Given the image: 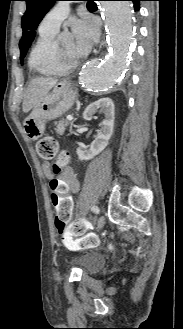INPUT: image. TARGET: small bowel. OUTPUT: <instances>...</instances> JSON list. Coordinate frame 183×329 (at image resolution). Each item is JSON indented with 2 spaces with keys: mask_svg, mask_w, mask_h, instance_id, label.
I'll return each mask as SVG.
<instances>
[{
  "mask_svg": "<svg viewBox=\"0 0 183 329\" xmlns=\"http://www.w3.org/2000/svg\"><path fill=\"white\" fill-rule=\"evenodd\" d=\"M44 172L48 177H52L53 170L48 165H44ZM46 189L49 192L51 206L54 208V218H75L76 193L79 191V183L70 169H67L61 178H48ZM85 224H90L86 222ZM63 245L70 250L78 249L79 239L68 237L62 240Z\"/></svg>",
  "mask_w": 183,
  "mask_h": 329,
  "instance_id": "1",
  "label": "small bowel"
}]
</instances>
